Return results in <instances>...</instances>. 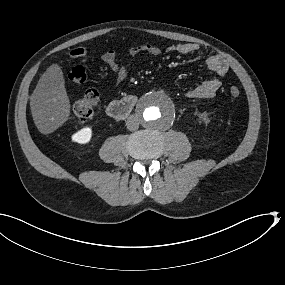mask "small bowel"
<instances>
[{
	"instance_id": "c3829d8e",
	"label": "small bowel",
	"mask_w": 285,
	"mask_h": 285,
	"mask_svg": "<svg viewBox=\"0 0 285 285\" xmlns=\"http://www.w3.org/2000/svg\"><path fill=\"white\" fill-rule=\"evenodd\" d=\"M199 46L193 43H179L171 45L167 48L168 52H176L182 55H190L199 51ZM130 56H136L140 53H146L152 56H158L162 53L161 48L153 44L145 43L134 45L126 50ZM102 59L106 62L114 72L115 84L121 83L127 77V69L119 62V52L116 50L106 51L102 55ZM207 68L212 72L210 79L203 81L195 87L189 89L185 93L188 99H209L216 95L221 87L220 78L224 76L228 70V64L224 58L219 55H210L206 58Z\"/></svg>"
}]
</instances>
